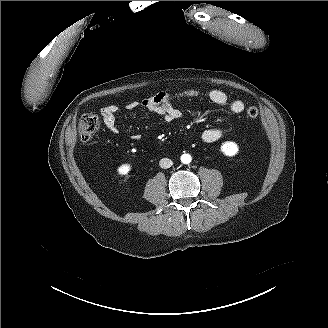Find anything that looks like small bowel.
I'll return each instance as SVG.
<instances>
[{"label": "small bowel", "mask_w": 328, "mask_h": 328, "mask_svg": "<svg viewBox=\"0 0 328 328\" xmlns=\"http://www.w3.org/2000/svg\"><path fill=\"white\" fill-rule=\"evenodd\" d=\"M205 97L210 102L217 105H228L229 109L234 114H240L245 109V104L240 99L230 101L227 94L218 89H211L202 92L199 89H187L176 94L168 92H159L153 96L146 97L140 101H131L126 105L128 111H133L139 106L144 109L155 113L166 122H172L181 116V112L173 106V101L176 99H196ZM119 107L115 104L104 106L101 111V117L105 127L113 134H117L119 129L116 122V114ZM222 135L219 128H209L202 132L201 139L206 143H213L217 141ZM133 139H138L136 135L132 136Z\"/></svg>", "instance_id": "obj_1"}]
</instances>
